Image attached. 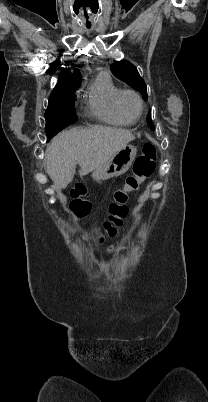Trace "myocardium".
<instances>
[{
	"label": "myocardium",
	"mask_w": 208,
	"mask_h": 402,
	"mask_svg": "<svg viewBox=\"0 0 208 402\" xmlns=\"http://www.w3.org/2000/svg\"><path fill=\"white\" fill-rule=\"evenodd\" d=\"M125 94H129V95L134 96L136 98V100L138 101L139 113L135 117H132V116L128 115L121 107L120 99ZM114 107H115V110H116L117 114L120 117H122L126 121L134 123V122H137L141 118V116L143 114V110H144V103H143V100H142L141 96L136 91L131 90V89H121V90L118 91V93L115 96Z\"/></svg>",
	"instance_id": "f54148a6"
}]
</instances>
